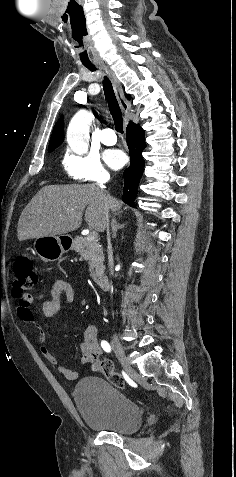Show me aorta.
I'll use <instances>...</instances> for the list:
<instances>
[{"instance_id":"762f6f07","label":"aorta","mask_w":236,"mask_h":477,"mask_svg":"<svg viewBox=\"0 0 236 477\" xmlns=\"http://www.w3.org/2000/svg\"><path fill=\"white\" fill-rule=\"evenodd\" d=\"M91 116L87 112H78L70 121L67 129V142L78 153L86 152L89 144Z\"/></svg>"}]
</instances>
